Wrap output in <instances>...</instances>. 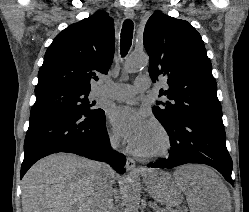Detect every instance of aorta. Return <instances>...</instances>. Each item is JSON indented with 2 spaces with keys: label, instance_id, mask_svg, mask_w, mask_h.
<instances>
[{
  "label": "aorta",
  "instance_id": "1",
  "mask_svg": "<svg viewBox=\"0 0 249 212\" xmlns=\"http://www.w3.org/2000/svg\"><path fill=\"white\" fill-rule=\"evenodd\" d=\"M149 58L144 53H133L125 62L126 73H134L148 64ZM139 174L135 173L129 180L125 197V212H138L140 204Z\"/></svg>",
  "mask_w": 249,
  "mask_h": 212
}]
</instances>
